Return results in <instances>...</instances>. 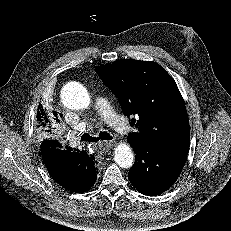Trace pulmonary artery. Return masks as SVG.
<instances>
[{"label":"pulmonary artery","instance_id":"pulmonary-artery-1","mask_svg":"<svg viewBox=\"0 0 231 231\" xmlns=\"http://www.w3.org/2000/svg\"><path fill=\"white\" fill-rule=\"evenodd\" d=\"M94 108L99 112L102 118L114 129L119 132H125L128 130L126 121L119 116L111 107L107 99L103 96H97L94 99ZM86 126L85 122H82L79 126L80 129Z\"/></svg>","mask_w":231,"mask_h":231}]
</instances>
